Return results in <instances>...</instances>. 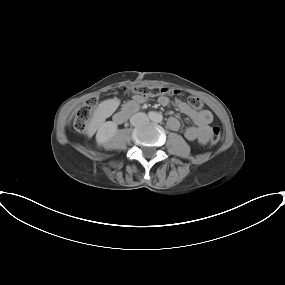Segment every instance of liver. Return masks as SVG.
I'll return each instance as SVG.
<instances>
[{"label": "liver", "instance_id": "obj_1", "mask_svg": "<svg viewBox=\"0 0 285 285\" xmlns=\"http://www.w3.org/2000/svg\"><path fill=\"white\" fill-rule=\"evenodd\" d=\"M104 104L105 103H102L100 105V107L96 110V112L94 114V118H93L92 122L90 123V125L88 127L87 133H88L89 137H91L95 133L98 125L103 120V107H104Z\"/></svg>", "mask_w": 285, "mask_h": 285}]
</instances>
